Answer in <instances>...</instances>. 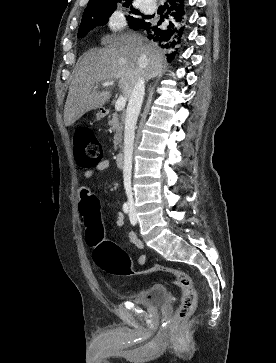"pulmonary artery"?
Segmentation results:
<instances>
[{
    "mask_svg": "<svg viewBox=\"0 0 276 363\" xmlns=\"http://www.w3.org/2000/svg\"><path fill=\"white\" fill-rule=\"evenodd\" d=\"M150 3H152V0H145L144 1V5H143V7H144V10L146 11V12H148V13H152V12H154V8H151V7H149V4Z\"/></svg>",
    "mask_w": 276,
    "mask_h": 363,
    "instance_id": "pulmonary-artery-1",
    "label": "pulmonary artery"
}]
</instances>
